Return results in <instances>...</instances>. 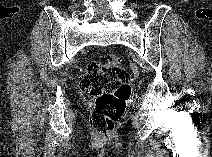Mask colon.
I'll use <instances>...</instances> for the list:
<instances>
[{"mask_svg": "<svg viewBox=\"0 0 212 157\" xmlns=\"http://www.w3.org/2000/svg\"><path fill=\"white\" fill-rule=\"evenodd\" d=\"M130 81L131 77L121 59L114 53L107 54L102 63L91 61L87 65L80 87L96 99L89 122L100 137H110L115 123L125 113L131 96Z\"/></svg>", "mask_w": 212, "mask_h": 157, "instance_id": "5ec220e1", "label": "colon"}]
</instances>
